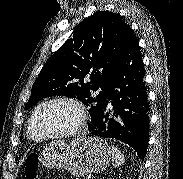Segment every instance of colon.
Returning <instances> with one entry per match:
<instances>
[{"label":"colon","instance_id":"1","mask_svg":"<svg viewBox=\"0 0 183 179\" xmlns=\"http://www.w3.org/2000/svg\"><path fill=\"white\" fill-rule=\"evenodd\" d=\"M38 169V158L36 154H31L26 162L27 179H36Z\"/></svg>","mask_w":183,"mask_h":179}]
</instances>
